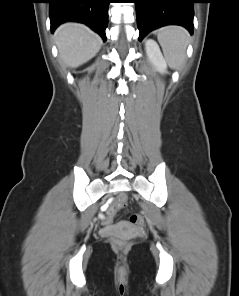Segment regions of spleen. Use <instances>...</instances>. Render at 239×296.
Masks as SVG:
<instances>
[{"instance_id":"1","label":"spleen","mask_w":239,"mask_h":296,"mask_svg":"<svg viewBox=\"0 0 239 296\" xmlns=\"http://www.w3.org/2000/svg\"><path fill=\"white\" fill-rule=\"evenodd\" d=\"M157 38L168 65L173 69H179L186 58L189 43L187 30L178 26L164 27L157 31Z\"/></svg>"}]
</instances>
